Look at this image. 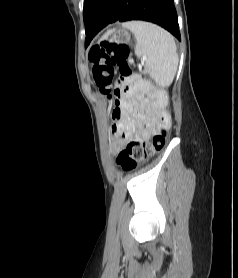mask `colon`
<instances>
[{"mask_svg": "<svg viewBox=\"0 0 238 278\" xmlns=\"http://www.w3.org/2000/svg\"><path fill=\"white\" fill-rule=\"evenodd\" d=\"M130 51L126 45L111 41H103L93 46L89 51L92 64V75L99 91L109 99L120 96L121 90L114 86L116 68L121 75V81L131 76L129 66ZM163 125L157 133L152 134L147 141L130 142L126 149L117 156V163L124 171H130L145 161L165 145L167 118H162Z\"/></svg>", "mask_w": 238, "mask_h": 278, "instance_id": "1", "label": "colon"}]
</instances>
